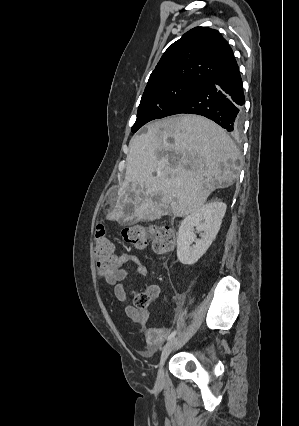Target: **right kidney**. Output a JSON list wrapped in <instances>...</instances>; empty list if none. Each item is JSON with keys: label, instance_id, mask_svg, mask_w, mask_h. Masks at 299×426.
Returning a JSON list of instances; mask_svg holds the SVG:
<instances>
[{"label": "right kidney", "instance_id": "1", "mask_svg": "<svg viewBox=\"0 0 299 426\" xmlns=\"http://www.w3.org/2000/svg\"><path fill=\"white\" fill-rule=\"evenodd\" d=\"M226 208L225 203L215 200L184 218L177 237V258L182 264L192 265L205 254L218 234Z\"/></svg>", "mask_w": 299, "mask_h": 426}]
</instances>
